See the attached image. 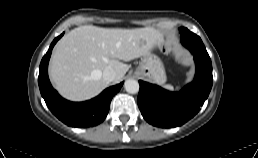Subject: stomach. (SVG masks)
Wrapping results in <instances>:
<instances>
[{
	"label": "stomach",
	"mask_w": 258,
	"mask_h": 158,
	"mask_svg": "<svg viewBox=\"0 0 258 158\" xmlns=\"http://www.w3.org/2000/svg\"><path fill=\"white\" fill-rule=\"evenodd\" d=\"M135 75L160 85L166 82L164 65L160 58L152 53H148L141 59V62L135 71Z\"/></svg>",
	"instance_id": "stomach-1"
}]
</instances>
